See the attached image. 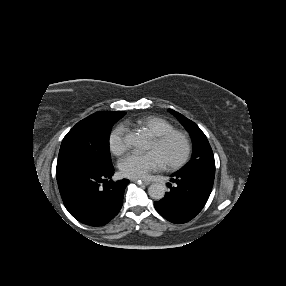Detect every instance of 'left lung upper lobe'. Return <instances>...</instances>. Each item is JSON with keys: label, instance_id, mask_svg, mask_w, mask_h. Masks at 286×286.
<instances>
[{"label": "left lung upper lobe", "instance_id": "5c2ea615", "mask_svg": "<svg viewBox=\"0 0 286 286\" xmlns=\"http://www.w3.org/2000/svg\"><path fill=\"white\" fill-rule=\"evenodd\" d=\"M169 112L186 128L193 142L191 160L180 170L185 172L196 170L215 171L214 155L205 134L193 121L187 119L182 114L172 109H169Z\"/></svg>", "mask_w": 286, "mask_h": 286}]
</instances>
